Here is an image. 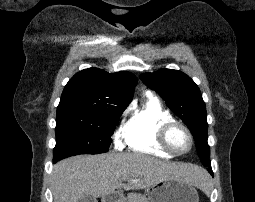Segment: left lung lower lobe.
Wrapping results in <instances>:
<instances>
[{"label": "left lung lower lobe", "instance_id": "left-lung-lower-lobe-1", "mask_svg": "<svg viewBox=\"0 0 255 202\" xmlns=\"http://www.w3.org/2000/svg\"><path fill=\"white\" fill-rule=\"evenodd\" d=\"M208 167H209L208 171L213 175V172L211 170V164H209Z\"/></svg>", "mask_w": 255, "mask_h": 202}]
</instances>
